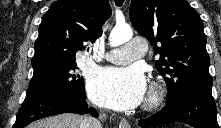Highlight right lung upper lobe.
<instances>
[{
  "label": "right lung upper lobe",
  "instance_id": "right-lung-upper-lobe-1",
  "mask_svg": "<svg viewBox=\"0 0 221 128\" xmlns=\"http://www.w3.org/2000/svg\"><path fill=\"white\" fill-rule=\"evenodd\" d=\"M108 0H58L42 18L32 58L34 74L76 63L75 54L102 35Z\"/></svg>",
  "mask_w": 221,
  "mask_h": 128
}]
</instances>
